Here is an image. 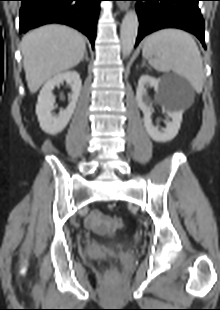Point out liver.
I'll return each instance as SVG.
<instances>
[{
  "mask_svg": "<svg viewBox=\"0 0 220 310\" xmlns=\"http://www.w3.org/2000/svg\"><path fill=\"white\" fill-rule=\"evenodd\" d=\"M31 93L53 76L78 65L86 52L84 37L64 25H46L26 34L21 43Z\"/></svg>",
  "mask_w": 220,
  "mask_h": 310,
  "instance_id": "obj_1",
  "label": "liver"
}]
</instances>
